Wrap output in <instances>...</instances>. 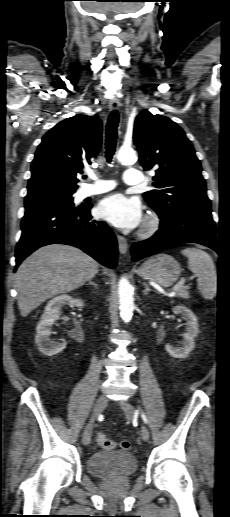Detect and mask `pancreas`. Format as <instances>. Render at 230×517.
Masks as SVG:
<instances>
[{"label":"pancreas","instance_id":"pancreas-1","mask_svg":"<svg viewBox=\"0 0 230 517\" xmlns=\"http://www.w3.org/2000/svg\"><path fill=\"white\" fill-rule=\"evenodd\" d=\"M189 287L188 286H185V287H182L181 289L177 290L176 291V297H180V298H183V299H188L189 298V291H188Z\"/></svg>","mask_w":230,"mask_h":517}]
</instances>
